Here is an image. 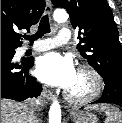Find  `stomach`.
<instances>
[{"mask_svg": "<svg viewBox=\"0 0 122 123\" xmlns=\"http://www.w3.org/2000/svg\"><path fill=\"white\" fill-rule=\"evenodd\" d=\"M74 123H98L96 115L88 111H80L73 115Z\"/></svg>", "mask_w": 122, "mask_h": 123, "instance_id": "1", "label": "stomach"}]
</instances>
